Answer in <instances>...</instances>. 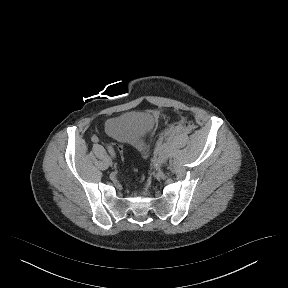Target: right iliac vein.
<instances>
[{"instance_id": "63e3f726", "label": "right iliac vein", "mask_w": 288, "mask_h": 288, "mask_svg": "<svg viewBox=\"0 0 288 288\" xmlns=\"http://www.w3.org/2000/svg\"><path fill=\"white\" fill-rule=\"evenodd\" d=\"M108 162H109V164H110V165H112V164H113V162H112V159H111V158H109V159H108Z\"/></svg>"}]
</instances>
